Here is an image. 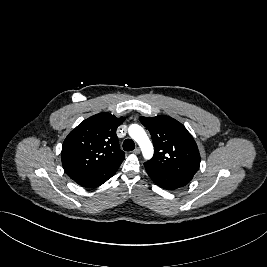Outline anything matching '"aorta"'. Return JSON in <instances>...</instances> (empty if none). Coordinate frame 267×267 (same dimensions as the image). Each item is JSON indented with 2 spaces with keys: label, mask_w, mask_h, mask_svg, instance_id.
<instances>
[{
  "label": "aorta",
  "mask_w": 267,
  "mask_h": 267,
  "mask_svg": "<svg viewBox=\"0 0 267 267\" xmlns=\"http://www.w3.org/2000/svg\"><path fill=\"white\" fill-rule=\"evenodd\" d=\"M128 133L141 148L143 157L148 160L151 159L154 153L153 145L148 138L145 130L138 124H131L128 128Z\"/></svg>",
  "instance_id": "aorta-1"
}]
</instances>
